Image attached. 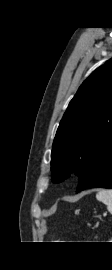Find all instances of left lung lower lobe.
<instances>
[{
    "instance_id": "left-lung-lower-lobe-1",
    "label": "left lung lower lobe",
    "mask_w": 112,
    "mask_h": 270,
    "mask_svg": "<svg viewBox=\"0 0 112 270\" xmlns=\"http://www.w3.org/2000/svg\"><path fill=\"white\" fill-rule=\"evenodd\" d=\"M98 187L112 189V146L90 175L79 182L76 192Z\"/></svg>"
}]
</instances>
